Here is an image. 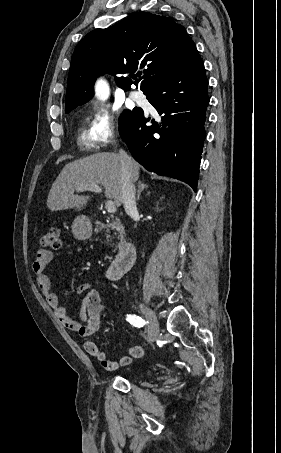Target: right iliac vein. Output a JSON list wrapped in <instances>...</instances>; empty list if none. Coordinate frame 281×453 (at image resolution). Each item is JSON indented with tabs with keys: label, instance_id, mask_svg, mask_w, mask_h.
<instances>
[{
	"label": "right iliac vein",
	"instance_id": "63e3f726",
	"mask_svg": "<svg viewBox=\"0 0 281 453\" xmlns=\"http://www.w3.org/2000/svg\"><path fill=\"white\" fill-rule=\"evenodd\" d=\"M136 306L138 307V309L142 310V314L144 317H146L147 321H149L150 325H151V330H150V339L148 340L150 343L153 341V340H156L157 339V335L161 329V326H160V322L159 320L156 318V316L154 315V311L147 307V305L145 303H142L141 301H138L136 303Z\"/></svg>",
	"mask_w": 281,
	"mask_h": 453
}]
</instances>
